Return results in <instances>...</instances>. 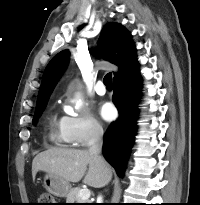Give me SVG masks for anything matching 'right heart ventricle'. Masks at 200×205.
Wrapping results in <instances>:
<instances>
[{
    "label": "right heart ventricle",
    "mask_w": 200,
    "mask_h": 205,
    "mask_svg": "<svg viewBox=\"0 0 200 205\" xmlns=\"http://www.w3.org/2000/svg\"><path fill=\"white\" fill-rule=\"evenodd\" d=\"M50 139L57 143L66 142L61 132V120L57 121L55 118L50 120Z\"/></svg>",
    "instance_id": "obj_1"
}]
</instances>
